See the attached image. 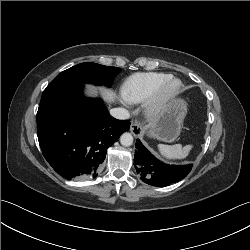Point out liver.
Listing matches in <instances>:
<instances>
[{
	"instance_id": "6515ba94",
	"label": "liver",
	"mask_w": 250,
	"mask_h": 250,
	"mask_svg": "<svg viewBox=\"0 0 250 250\" xmlns=\"http://www.w3.org/2000/svg\"><path fill=\"white\" fill-rule=\"evenodd\" d=\"M89 89V93H91L92 95H96L97 94V90L95 87L93 86H88ZM101 95L103 96L104 100L107 102H115L116 101V93L110 89H106V88H99Z\"/></svg>"
}]
</instances>
